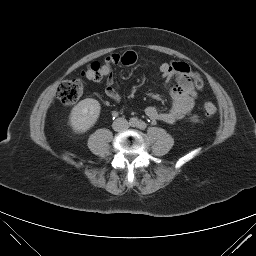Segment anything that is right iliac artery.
I'll use <instances>...</instances> for the list:
<instances>
[{
  "mask_svg": "<svg viewBox=\"0 0 256 256\" xmlns=\"http://www.w3.org/2000/svg\"><path fill=\"white\" fill-rule=\"evenodd\" d=\"M129 124H130L132 127H135V126L138 125V121H137V119L132 118V119H130Z\"/></svg>",
  "mask_w": 256,
  "mask_h": 256,
  "instance_id": "1",
  "label": "right iliac artery"
}]
</instances>
